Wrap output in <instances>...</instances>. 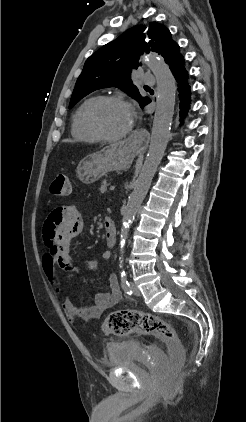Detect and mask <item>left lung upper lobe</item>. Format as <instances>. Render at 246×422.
<instances>
[{
    "mask_svg": "<svg viewBox=\"0 0 246 422\" xmlns=\"http://www.w3.org/2000/svg\"><path fill=\"white\" fill-rule=\"evenodd\" d=\"M177 46L170 31L157 22L150 23L149 27H132L86 60L75 84L69 108L89 93L111 86L125 91L143 108L150 99L139 94L131 79L132 71L141 65L138 63L139 56L154 51L168 63Z\"/></svg>",
    "mask_w": 246,
    "mask_h": 422,
    "instance_id": "obj_1",
    "label": "left lung upper lobe"
}]
</instances>
